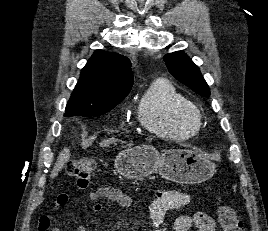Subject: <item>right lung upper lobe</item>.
<instances>
[{
  "label": "right lung upper lobe",
  "instance_id": "cb5924a9",
  "mask_svg": "<svg viewBox=\"0 0 268 231\" xmlns=\"http://www.w3.org/2000/svg\"><path fill=\"white\" fill-rule=\"evenodd\" d=\"M132 85L133 73L127 57L96 50L82 69L69 103L92 105L123 100Z\"/></svg>",
  "mask_w": 268,
  "mask_h": 231
}]
</instances>
